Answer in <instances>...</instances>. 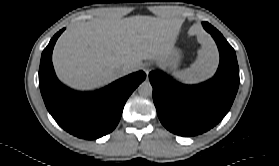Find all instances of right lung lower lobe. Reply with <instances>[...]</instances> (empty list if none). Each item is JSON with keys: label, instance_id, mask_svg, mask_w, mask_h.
Returning <instances> with one entry per match:
<instances>
[{"label": "right lung lower lobe", "instance_id": "right-lung-lower-lobe-1", "mask_svg": "<svg viewBox=\"0 0 279 166\" xmlns=\"http://www.w3.org/2000/svg\"><path fill=\"white\" fill-rule=\"evenodd\" d=\"M63 31L56 33L42 52L39 68L41 94L47 110L59 126L79 138L97 139L114 130L126 100L146 74L143 71L132 73L92 93L70 90L59 82L52 64V50Z\"/></svg>", "mask_w": 279, "mask_h": 166}]
</instances>
